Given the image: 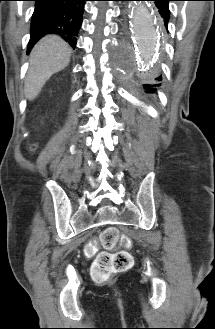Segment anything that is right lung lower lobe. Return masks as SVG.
Listing matches in <instances>:
<instances>
[{
    "label": "right lung lower lobe",
    "mask_w": 215,
    "mask_h": 329,
    "mask_svg": "<svg viewBox=\"0 0 215 329\" xmlns=\"http://www.w3.org/2000/svg\"><path fill=\"white\" fill-rule=\"evenodd\" d=\"M36 2L31 20V36L28 51L46 34L55 33L73 48L82 24L87 0H33Z\"/></svg>",
    "instance_id": "right-lung-lower-lobe-1"
}]
</instances>
